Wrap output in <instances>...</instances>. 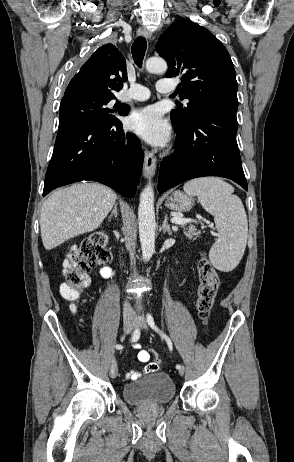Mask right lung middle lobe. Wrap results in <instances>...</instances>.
<instances>
[{
	"mask_svg": "<svg viewBox=\"0 0 294 462\" xmlns=\"http://www.w3.org/2000/svg\"><path fill=\"white\" fill-rule=\"evenodd\" d=\"M115 96L97 94H73L62 98L60 104L59 130L75 125L111 123L117 118L114 112L122 114L123 105L110 102Z\"/></svg>",
	"mask_w": 294,
	"mask_h": 462,
	"instance_id": "obj_1",
	"label": "right lung middle lobe"
}]
</instances>
